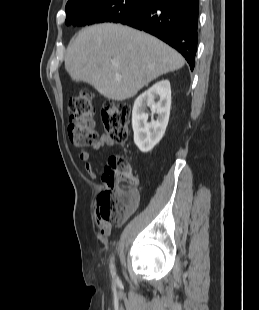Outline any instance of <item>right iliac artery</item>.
I'll use <instances>...</instances> for the list:
<instances>
[{"instance_id": "82829eb1", "label": "right iliac artery", "mask_w": 259, "mask_h": 310, "mask_svg": "<svg viewBox=\"0 0 259 310\" xmlns=\"http://www.w3.org/2000/svg\"><path fill=\"white\" fill-rule=\"evenodd\" d=\"M111 273L115 277L116 273H115V269H114L113 263H111Z\"/></svg>"}]
</instances>
